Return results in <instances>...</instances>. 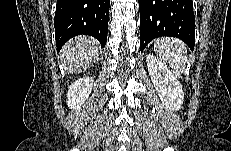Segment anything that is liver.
<instances>
[{
	"label": "liver",
	"instance_id": "liver-1",
	"mask_svg": "<svg viewBox=\"0 0 231 151\" xmlns=\"http://www.w3.org/2000/svg\"><path fill=\"white\" fill-rule=\"evenodd\" d=\"M99 43L88 36L71 39L62 50V63L67 73L81 72L91 62L98 61Z\"/></svg>",
	"mask_w": 231,
	"mask_h": 151
}]
</instances>
